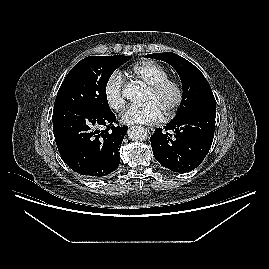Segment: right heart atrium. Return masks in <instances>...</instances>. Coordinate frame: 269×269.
I'll return each instance as SVG.
<instances>
[{"instance_id": "1", "label": "right heart atrium", "mask_w": 269, "mask_h": 269, "mask_svg": "<svg viewBox=\"0 0 269 269\" xmlns=\"http://www.w3.org/2000/svg\"><path fill=\"white\" fill-rule=\"evenodd\" d=\"M124 83V77L119 71H113L104 83V98L108 107L113 111L119 112L125 106V100L122 96Z\"/></svg>"}]
</instances>
